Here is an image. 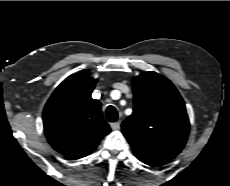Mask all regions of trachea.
Here are the masks:
<instances>
[{"instance_id":"trachea-1","label":"trachea","mask_w":230,"mask_h":186,"mask_svg":"<svg viewBox=\"0 0 230 186\" xmlns=\"http://www.w3.org/2000/svg\"><path fill=\"white\" fill-rule=\"evenodd\" d=\"M118 118V112L114 106H108L106 109V119L109 122H115Z\"/></svg>"}]
</instances>
